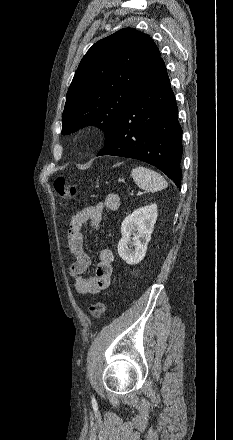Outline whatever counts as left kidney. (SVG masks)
I'll use <instances>...</instances> for the list:
<instances>
[{
	"label": "left kidney",
	"instance_id": "5707ae66",
	"mask_svg": "<svg viewBox=\"0 0 233 440\" xmlns=\"http://www.w3.org/2000/svg\"><path fill=\"white\" fill-rule=\"evenodd\" d=\"M157 215V205L151 204L136 209L122 222V238L117 248L119 256L127 264H138L145 257ZM134 231L137 233L135 234Z\"/></svg>",
	"mask_w": 233,
	"mask_h": 440
}]
</instances>
